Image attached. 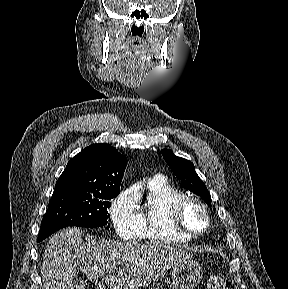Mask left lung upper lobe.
Instances as JSON below:
<instances>
[{
	"label": "left lung upper lobe",
	"mask_w": 288,
	"mask_h": 289,
	"mask_svg": "<svg viewBox=\"0 0 288 289\" xmlns=\"http://www.w3.org/2000/svg\"><path fill=\"white\" fill-rule=\"evenodd\" d=\"M161 153L173 173L181 180L183 187L186 190L199 195L207 204H210V193L203 181L197 175L193 163L184 158L175 156L172 150L169 149H162Z\"/></svg>",
	"instance_id": "1"
}]
</instances>
